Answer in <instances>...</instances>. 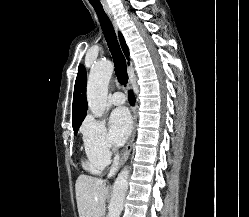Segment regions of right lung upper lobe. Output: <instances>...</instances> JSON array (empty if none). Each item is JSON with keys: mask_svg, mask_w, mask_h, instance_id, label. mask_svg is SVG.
Returning <instances> with one entry per match:
<instances>
[{"mask_svg": "<svg viewBox=\"0 0 249 217\" xmlns=\"http://www.w3.org/2000/svg\"><path fill=\"white\" fill-rule=\"evenodd\" d=\"M119 39L122 49L126 55V58L129 59V50L120 32H119ZM86 84H87L86 70L83 65H80L78 67V74L74 87L73 106H72L73 127L81 124L86 116V111L88 107L86 100Z\"/></svg>", "mask_w": 249, "mask_h": 217, "instance_id": "cb5924a9", "label": "right lung upper lobe"}]
</instances>
